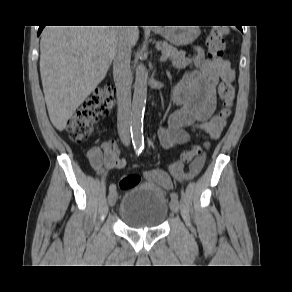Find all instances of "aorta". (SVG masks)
Instances as JSON below:
<instances>
[{
	"mask_svg": "<svg viewBox=\"0 0 292 292\" xmlns=\"http://www.w3.org/2000/svg\"><path fill=\"white\" fill-rule=\"evenodd\" d=\"M147 82V70L143 64H140L136 68V78L131 111V131L137 143H139L141 140V131L143 128V117L147 99Z\"/></svg>",
	"mask_w": 292,
	"mask_h": 292,
	"instance_id": "aorta-1",
	"label": "aorta"
}]
</instances>
